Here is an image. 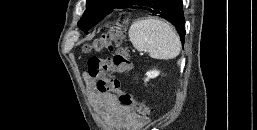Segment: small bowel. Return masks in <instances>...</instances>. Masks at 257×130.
<instances>
[{
  "label": "small bowel",
  "mask_w": 257,
  "mask_h": 130,
  "mask_svg": "<svg viewBox=\"0 0 257 130\" xmlns=\"http://www.w3.org/2000/svg\"><path fill=\"white\" fill-rule=\"evenodd\" d=\"M84 81L93 102L111 126L119 130H139L146 124L147 119L139 116L132 108L121 105L115 95L99 92L95 80L89 74L84 75Z\"/></svg>",
  "instance_id": "small-bowel-1"
}]
</instances>
